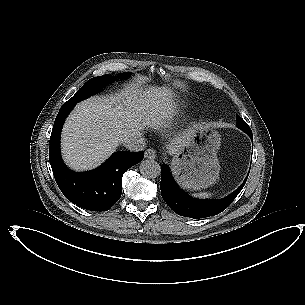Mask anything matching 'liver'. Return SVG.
I'll list each match as a JSON object with an SVG mask.
<instances>
[{
	"mask_svg": "<svg viewBox=\"0 0 305 305\" xmlns=\"http://www.w3.org/2000/svg\"><path fill=\"white\" fill-rule=\"evenodd\" d=\"M174 113L153 110L139 90H125L116 96H93L78 103L68 115L61 134V153L65 164L82 172L97 168L114 153L121 141L141 136L145 127L171 129ZM193 130L177 133L169 151L177 153Z\"/></svg>",
	"mask_w": 305,
	"mask_h": 305,
	"instance_id": "6515ba94",
	"label": "liver"
}]
</instances>
